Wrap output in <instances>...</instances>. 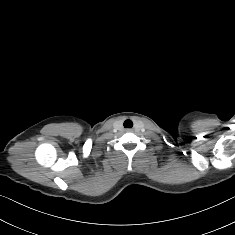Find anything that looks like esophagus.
<instances>
[{"label": "esophagus", "instance_id": "34e87169", "mask_svg": "<svg viewBox=\"0 0 235 235\" xmlns=\"http://www.w3.org/2000/svg\"><path fill=\"white\" fill-rule=\"evenodd\" d=\"M126 131H133V129L127 128Z\"/></svg>", "mask_w": 235, "mask_h": 235}]
</instances>
